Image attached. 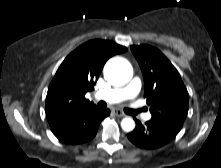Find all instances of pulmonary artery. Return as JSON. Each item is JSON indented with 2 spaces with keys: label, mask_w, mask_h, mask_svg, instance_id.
<instances>
[{
  "label": "pulmonary artery",
  "mask_w": 221,
  "mask_h": 168,
  "mask_svg": "<svg viewBox=\"0 0 221 168\" xmlns=\"http://www.w3.org/2000/svg\"><path fill=\"white\" fill-rule=\"evenodd\" d=\"M141 88V81L138 77H135L131 82L124 87H115L103 91H99L95 94V97L100 100H104L108 103H119L127 99H133L137 96ZM137 110V109H135ZM144 120H150L151 114H142Z\"/></svg>",
  "instance_id": "pulmonary-artery-1"
}]
</instances>
